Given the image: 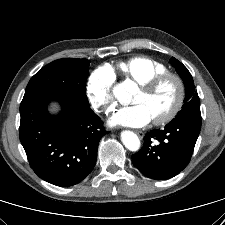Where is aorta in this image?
Returning <instances> with one entry per match:
<instances>
[{"label":"aorta","mask_w":225,"mask_h":225,"mask_svg":"<svg viewBox=\"0 0 225 225\" xmlns=\"http://www.w3.org/2000/svg\"><path fill=\"white\" fill-rule=\"evenodd\" d=\"M135 89L136 84L131 80H126L114 88V94L120 102L129 103ZM121 141L130 151H138L140 148V140L132 131H123L121 133Z\"/></svg>","instance_id":"aorta-1"}]
</instances>
